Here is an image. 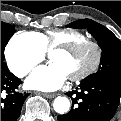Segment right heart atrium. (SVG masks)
I'll return each mask as SVG.
<instances>
[{
	"instance_id": "1",
	"label": "right heart atrium",
	"mask_w": 121,
	"mask_h": 121,
	"mask_svg": "<svg viewBox=\"0 0 121 121\" xmlns=\"http://www.w3.org/2000/svg\"><path fill=\"white\" fill-rule=\"evenodd\" d=\"M44 57L38 41L26 34L18 33L8 42L5 58L11 71L24 76Z\"/></svg>"
}]
</instances>
